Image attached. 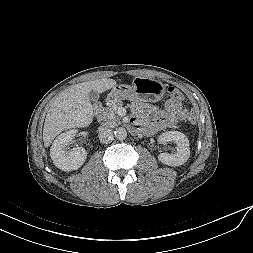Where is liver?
I'll use <instances>...</instances> for the list:
<instances>
[{
  "mask_svg": "<svg viewBox=\"0 0 253 253\" xmlns=\"http://www.w3.org/2000/svg\"><path fill=\"white\" fill-rule=\"evenodd\" d=\"M114 86H116L115 80L102 78L73 85L56 96L44 123L45 147H48L64 130L89 126L94 115L88 93L91 90L102 93Z\"/></svg>",
  "mask_w": 253,
  "mask_h": 253,
  "instance_id": "liver-1",
  "label": "liver"
}]
</instances>
